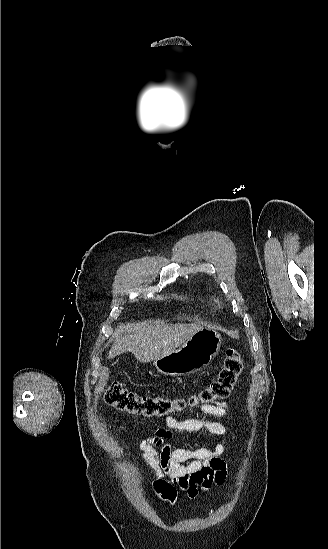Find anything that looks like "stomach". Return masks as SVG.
<instances>
[{
    "label": "stomach",
    "instance_id": "0dacf381",
    "mask_svg": "<svg viewBox=\"0 0 328 549\" xmlns=\"http://www.w3.org/2000/svg\"><path fill=\"white\" fill-rule=\"evenodd\" d=\"M221 341V335L215 329L202 327L180 349L155 359L154 365L159 373L170 377L195 375L217 357Z\"/></svg>",
    "mask_w": 328,
    "mask_h": 549
}]
</instances>
